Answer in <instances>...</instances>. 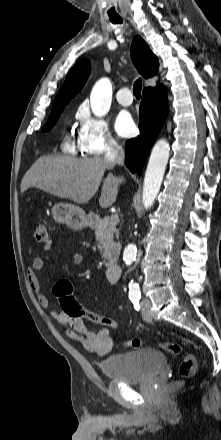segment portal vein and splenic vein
<instances>
[{
    "mask_svg": "<svg viewBox=\"0 0 221 440\" xmlns=\"http://www.w3.org/2000/svg\"><path fill=\"white\" fill-rule=\"evenodd\" d=\"M110 223H111L112 225H117V224L119 223V216H118V214H113V215H111V217H110Z\"/></svg>",
    "mask_w": 221,
    "mask_h": 440,
    "instance_id": "18ae733b",
    "label": "portal vein and splenic vein"
}]
</instances>
